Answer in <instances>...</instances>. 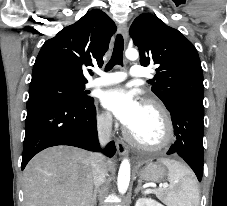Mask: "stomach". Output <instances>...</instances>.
<instances>
[{"instance_id": "stomach-1", "label": "stomach", "mask_w": 227, "mask_h": 206, "mask_svg": "<svg viewBox=\"0 0 227 206\" xmlns=\"http://www.w3.org/2000/svg\"><path fill=\"white\" fill-rule=\"evenodd\" d=\"M141 180L148 182H160L166 175L165 168L158 163H147L137 171Z\"/></svg>"}]
</instances>
